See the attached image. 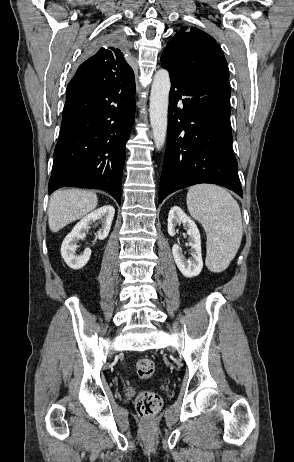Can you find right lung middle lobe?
<instances>
[{"label": "right lung middle lobe", "instance_id": "1", "mask_svg": "<svg viewBox=\"0 0 294 462\" xmlns=\"http://www.w3.org/2000/svg\"><path fill=\"white\" fill-rule=\"evenodd\" d=\"M124 39L118 30H111L99 36L91 46V50L96 52L100 47L122 46Z\"/></svg>", "mask_w": 294, "mask_h": 462}]
</instances>
